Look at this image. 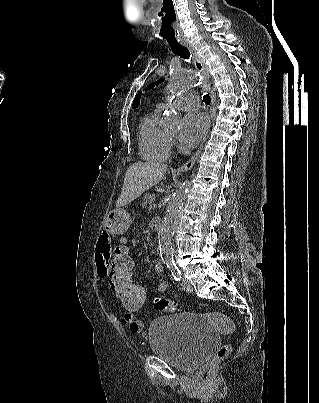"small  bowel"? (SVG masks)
Segmentation results:
<instances>
[{"mask_svg": "<svg viewBox=\"0 0 319 403\" xmlns=\"http://www.w3.org/2000/svg\"><path fill=\"white\" fill-rule=\"evenodd\" d=\"M124 250H127L128 252L130 251V249ZM121 252H123V250ZM113 259L114 257L111 255L109 235L108 233L103 232L99 235L97 241L95 262L97 265L99 276L104 277V286L108 288L113 286ZM155 269L157 272H161L163 270L162 264L157 263ZM168 287L169 283L167 281H162L158 284L157 291L164 292L168 289ZM145 294L147 300L148 291H145ZM124 319L129 325L130 333L136 335L142 331L143 322L141 321L140 313H125Z\"/></svg>", "mask_w": 319, "mask_h": 403, "instance_id": "small-bowel-1", "label": "small bowel"}]
</instances>
